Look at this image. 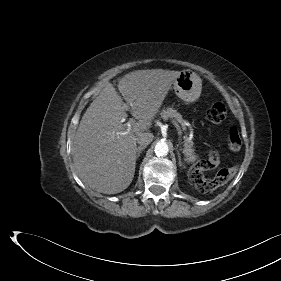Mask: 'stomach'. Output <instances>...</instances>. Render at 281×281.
<instances>
[{"label": "stomach", "mask_w": 281, "mask_h": 281, "mask_svg": "<svg viewBox=\"0 0 281 281\" xmlns=\"http://www.w3.org/2000/svg\"><path fill=\"white\" fill-rule=\"evenodd\" d=\"M173 88L176 95L185 102L196 101L202 90L201 78L191 70H183L175 79Z\"/></svg>", "instance_id": "1"}]
</instances>
